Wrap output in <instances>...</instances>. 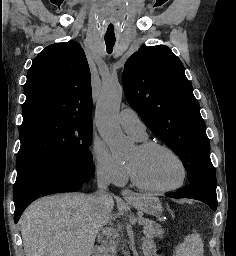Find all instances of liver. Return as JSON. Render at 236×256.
Returning a JSON list of instances; mask_svg holds the SVG:
<instances>
[{"mask_svg":"<svg viewBox=\"0 0 236 256\" xmlns=\"http://www.w3.org/2000/svg\"><path fill=\"white\" fill-rule=\"evenodd\" d=\"M109 208L95 206L86 194L40 198L21 216L25 256H91L95 238L109 224Z\"/></svg>","mask_w":236,"mask_h":256,"instance_id":"6515ba94","label":"liver"}]
</instances>
